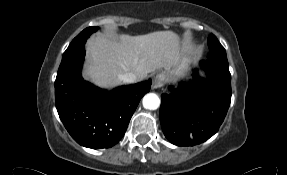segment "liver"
Wrapping results in <instances>:
<instances>
[{"instance_id": "1", "label": "liver", "mask_w": 287, "mask_h": 175, "mask_svg": "<svg viewBox=\"0 0 287 175\" xmlns=\"http://www.w3.org/2000/svg\"><path fill=\"white\" fill-rule=\"evenodd\" d=\"M181 57L180 38L173 31L110 37L99 34L87 42L84 77L100 87H113L133 72L141 81L157 69L173 67Z\"/></svg>"}]
</instances>
